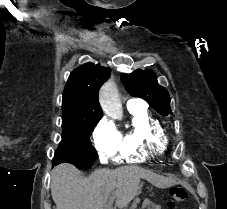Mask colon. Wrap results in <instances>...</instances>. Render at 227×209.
Masks as SVG:
<instances>
[{
    "label": "colon",
    "mask_w": 227,
    "mask_h": 209,
    "mask_svg": "<svg viewBox=\"0 0 227 209\" xmlns=\"http://www.w3.org/2000/svg\"><path fill=\"white\" fill-rule=\"evenodd\" d=\"M188 198V192L186 189L174 186L169 191V199L166 202L167 209H176V206L182 202H185Z\"/></svg>",
    "instance_id": "5ec220e1"
}]
</instances>
